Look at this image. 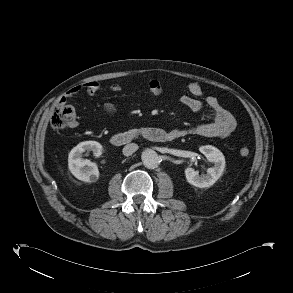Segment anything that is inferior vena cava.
<instances>
[{"label": "inferior vena cava", "mask_w": 293, "mask_h": 293, "mask_svg": "<svg viewBox=\"0 0 293 293\" xmlns=\"http://www.w3.org/2000/svg\"><path fill=\"white\" fill-rule=\"evenodd\" d=\"M138 145L137 144H135V143H130V144H127V145H125L124 146V148H123V154L125 155V156H130V155H132L134 152H136L137 150H138Z\"/></svg>", "instance_id": "602c4592"}]
</instances>
